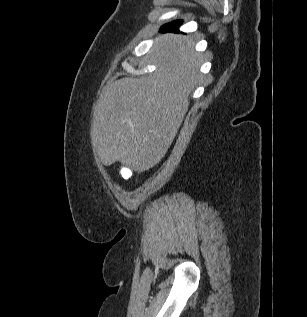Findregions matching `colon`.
I'll return each instance as SVG.
<instances>
[{
	"instance_id": "5ec220e1",
	"label": "colon",
	"mask_w": 307,
	"mask_h": 317,
	"mask_svg": "<svg viewBox=\"0 0 307 317\" xmlns=\"http://www.w3.org/2000/svg\"><path fill=\"white\" fill-rule=\"evenodd\" d=\"M121 175L124 178H129L132 175V170L130 168L126 167V166H123L121 168Z\"/></svg>"
}]
</instances>
